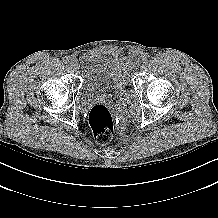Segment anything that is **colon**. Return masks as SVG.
I'll return each mask as SVG.
<instances>
[{
    "mask_svg": "<svg viewBox=\"0 0 218 218\" xmlns=\"http://www.w3.org/2000/svg\"><path fill=\"white\" fill-rule=\"evenodd\" d=\"M89 124L98 143L105 144L111 140L114 131V119L107 106L103 104L94 105L89 112Z\"/></svg>",
    "mask_w": 218,
    "mask_h": 218,
    "instance_id": "obj_1",
    "label": "colon"
}]
</instances>
